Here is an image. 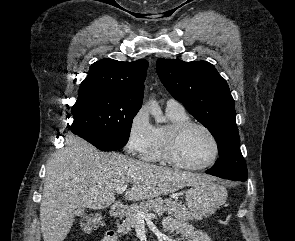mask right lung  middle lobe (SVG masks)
<instances>
[{
  "label": "right lung middle lobe",
  "mask_w": 295,
  "mask_h": 241,
  "mask_svg": "<svg viewBox=\"0 0 295 241\" xmlns=\"http://www.w3.org/2000/svg\"><path fill=\"white\" fill-rule=\"evenodd\" d=\"M141 104L93 91L78 98L71 109L73 134L104 151L118 150L128 142L132 121Z\"/></svg>",
  "instance_id": "obj_1"
}]
</instances>
